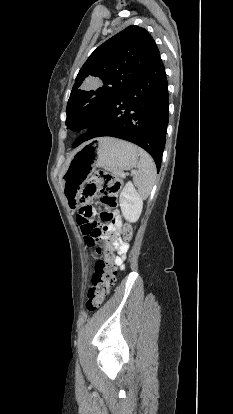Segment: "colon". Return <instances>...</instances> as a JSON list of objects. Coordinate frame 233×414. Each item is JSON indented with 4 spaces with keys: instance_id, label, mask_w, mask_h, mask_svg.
Segmentation results:
<instances>
[{
    "instance_id": "1",
    "label": "colon",
    "mask_w": 233,
    "mask_h": 414,
    "mask_svg": "<svg viewBox=\"0 0 233 414\" xmlns=\"http://www.w3.org/2000/svg\"><path fill=\"white\" fill-rule=\"evenodd\" d=\"M121 189V181L104 171L96 172L84 188L82 204L79 209L78 222L81 231L88 244L98 243V251L104 255V259L98 260L95 264L92 275V284L87 293L86 306L89 311L99 308L106 300L111 287L115 283L116 268L113 258L117 250L113 238L102 237L100 229L90 223L91 211L89 206L83 205L85 198L96 193L102 196V204L105 208L103 216H106L110 208L116 205V196ZM132 238V228L129 224L123 226V243L126 245Z\"/></svg>"
}]
</instances>
